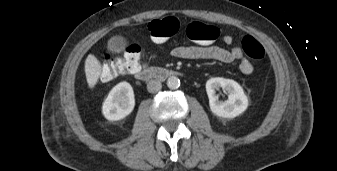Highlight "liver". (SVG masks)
Here are the masks:
<instances>
[{"label":"liver","instance_id":"1","mask_svg":"<svg viewBox=\"0 0 337 171\" xmlns=\"http://www.w3.org/2000/svg\"><path fill=\"white\" fill-rule=\"evenodd\" d=\"M101 72V63L92 54H89L85 61V74L88 86L93 88L99 79Z\"/></svg>","mask_w":337,"mask_h":171}]
</instances>
